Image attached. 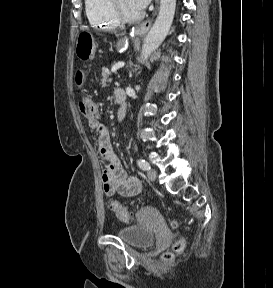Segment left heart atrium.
<instances>
[{
  "label": "left heart atrium",
  "mask_w": 273,
  "mask_h": 288,
  "mask_svg": "<svg viewBox=\"0 0 273 288\" xmlns=\"http://www.w3.org/2000/svg\"><path fill=\"white\" fill-rule=\"evenodd\" d=\"M133 5L140 12L146 8L149 3V0H131Z\"/></svg>",
  "instance_id": "39dd6f15"
}]
</instances>
